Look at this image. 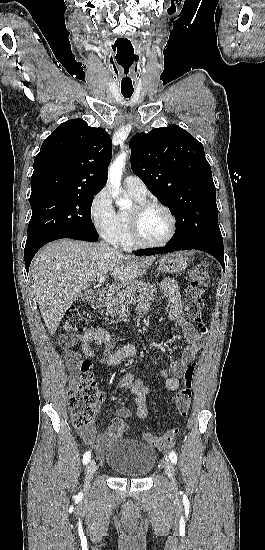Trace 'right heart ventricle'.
Here are the masks:
<instances>
[{
	"label": "right heart ventricle",
	"mask_w": 265,
	"mask_h": 550,
	"mask_svg": "<svg viewBox=\"0 0 265 550\" xmlns=\"http://www.w3.org/2000/svg\"><path fill=\"white\" fill-rule=\"evenodd\" d=\"M128 193L136 203L145 200V197H140L130 192ZM129 214V211L126 210H120L117 213L118 228L111 240V243L126 250L132 249L135 246L130 235Z\"/></svg>",
	"instance_id": "obj_1"
}]
</instances>
